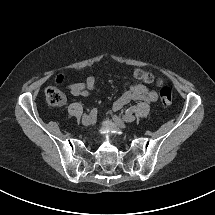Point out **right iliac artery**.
<instances>
[{
    "instance_id": "right-iliac-artery-1",
    "label": "right iliac artery",
    "mask_w": 215,
    "mask_h": 215,
    "mask_svg": "<svg viewBox=\"0 0 215 215\" xmlns=\"http://www.w3.org/2000/svg\"><path fill=\"white\" fill-rule=\"evenodd\" d=\"M97 114V108H93L90 112L91 116H95Z\"/></svg>"
}]
</instances>
